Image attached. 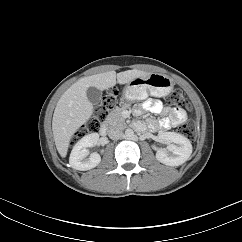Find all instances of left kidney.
<instances>
[{"label": "left kidney", "instance_id": "5707ae66", "mask_svg": "<svg viewBox=\"0 0 242 242\" xmlns=\"http://www.w3.org/2000/svg\"><path fill=\"white\" fill-rule=\"evenodd\" d=\"M167 148H160L156 152V159L168 166H179L186 162L192 153L189 139L176 132H163L158 136Z\"/></svg>", "mask_w": 242, "mask_h": 242}]
</instances>
